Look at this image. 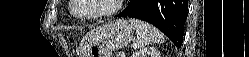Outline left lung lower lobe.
<instances>
[{
	"mask_svg": "<svg viewBox=\"0 0 249 57\" xmlns=\"http://www.w3.org/2000/svg\"><path fill=\"white\" fill-rule=\"evenodd\" d=\"M187 8V0H130L128 7L117 17H133L149 22L176 46H180L183 42Z\"/></svg>",
	"mask_w": 249,
	"mask_h": 57,
	"instance_id": "left-lung-lower-lobe-1",
	"label": "left lung lower lobe"
}]
</instances>
